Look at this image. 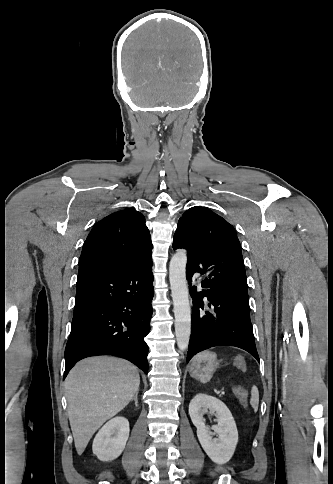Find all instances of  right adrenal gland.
Wrapping results in <instances>:
<instances>
[{"label":"right adrenal gland","mask_w":333,"mask_h":484,"mask_svg":"<svg viewBox=\"0 0 333 484\" xmlns=\"http://www.w3.org/2000/svg\"><path fill=\"white\" fill-rule=\"evenodd\" d=\"M132 400L135 401V406L138 407V392L135 394V396L132 398Z\"/></svg>","instance_id":"obj_1"}]
</instances>
